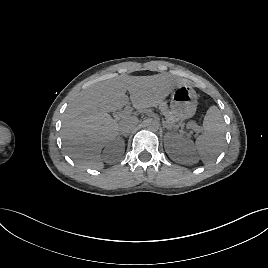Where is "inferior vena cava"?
I'll list each match as a JSON object with an SVG mask.
<instances>
[{
    "instance_id": "inferior-vena-cava-1",
    "label": "inferior vena cava",
    "mask_w": 268,
    "mask_h": 268,
    "mask_svg": "<svg viewBox=\"0 0 268 268\" xmlns=\"http://www.w3.org/2000/svg\"><path fill=\"white\" fill-rule=\"evenodd\" d=\"M137 124H138L137 118L131 117V118L125 119L120 122L119 131L123 135H128L135 129Z\"/></svg>"
}]
</instances>
